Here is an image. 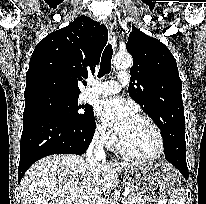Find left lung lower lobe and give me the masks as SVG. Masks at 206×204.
Listing matches in <instances>:
<instances>
[{"label":"left lung lower lobe","mask_w":206,"mask_h":204,"mask_svg":"<svg viewBox=\"0 0 206 204\" xmlns=\"http://www.w3.org/2000/svg\"><path fill=\"white\" fill-rule=\"evenodd\" d=\"M163 141L165 159L179 169L182 175L188 179L185 134L174 133L163 139Z\"/></svg>","instance_id":"0a47b994"}]
</instances>
